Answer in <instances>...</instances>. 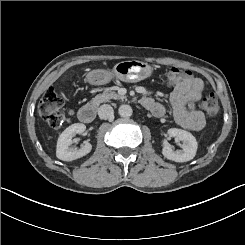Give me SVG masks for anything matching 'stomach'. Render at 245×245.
Segmentation results:
<instances>
[{
	"label": "stomach",
	"mask_w": 245,
	"mask_h": 245,
	"mask_svg": "<svg viewBox=\"0 0 245 245\" xmlns=\"http://www.w3.org/2000/svg\"><path fill=\"white\" fill-rule=\"evenodd\" d=\"M154 75V67L147 62L130 60L119 62L111 71L106 69H93L86 75V81L90 85H104L112 80H120L127 83H137Z\"/></svg>",
	"instance_id": "obj_1"
}]
</instances>
